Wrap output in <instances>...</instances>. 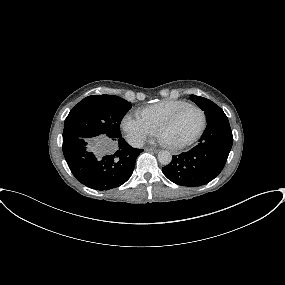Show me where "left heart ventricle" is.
Returning <instances> with one entry per match:
<instances>
[{"label":"left heart ventricle","mask_w":285,"mask_h":285,"mask_svg":"<svg viewBox=\"0 0 285 285\" xmlns=\"http://www.w3.org/2000/svg\"><path fill=\"white\" fill-rule=\"evenodd\" d=\"M201 123L200 112L195 108H187L162 132L161 136L166 142L181 143L195 135Z\"/></svg>","instance_id":"obj_1"}]
</instances>
